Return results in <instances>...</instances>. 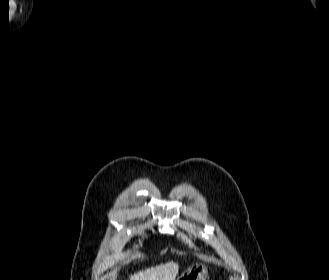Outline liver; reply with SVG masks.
<instances>
[{
    "instance_id": "liver-1",
    "label": "liver",
    "mask_w": 329,
    "mask_h": 280,
    "mask_svg": "<svg viewBox=\"0 0 329 280\" xmlns=\"http://www.w3.org/2000/svg\"><path fill=\"white\" fill-rule=\"evenodd\" d=\"M179 271L178 263L173 261L134 273L129 280H175Z\"/></svg>"
}]
</instances>
